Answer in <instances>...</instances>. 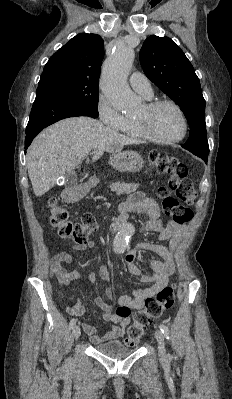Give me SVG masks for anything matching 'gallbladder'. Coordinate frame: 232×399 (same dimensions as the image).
Returning <instances> with one entry per match:
<instances>
[{
    "instance_id": "1",
    "label": "gallbladder",
    "mask_w": 232,
    "mask_h": 399,
    "mask_svg": "<svg viewBox=\"0 0 232 399\" xmlns=\"http://www.w3.org/2000/svg\"><path fill=\"white\" fill-rule=\"evenodd\" d=\"M75 168L79 169L80 165L76 164ZM77 184L78 180L75 172H67V174H65L64 176L63 186H69V188H74V186H77Z\"/></svg>"
}]
</instances>
